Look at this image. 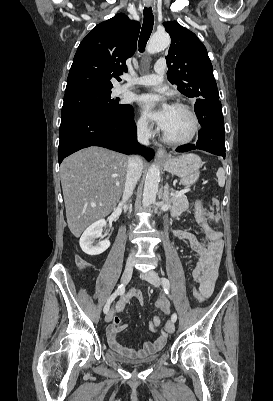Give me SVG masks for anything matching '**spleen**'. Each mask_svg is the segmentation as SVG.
I'll return each mask as SVG.
<instances>
[{"instance_id": "1", "label": "spleen", "mask_w": 273, "mask_h": 401, "mask_svg": "<svg viewBox=\"0 0 273 401\" xmlns=\"http://www.w3.org/2000/svg\"><path fill=\"white\" fill-rule=\"evenodd\" d=\"M216 176L218 178L219 186H224V184H225V170H224V168H218V170L216 172Z\"/></svg>"}]
</instances>
